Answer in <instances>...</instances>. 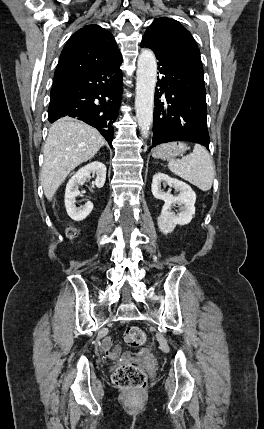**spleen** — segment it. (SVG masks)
<instances>
[{
  "mask_svg": "<svg viewBox=\"0 0 264 429\" xmlns=\"http://www.w3.org/2000/svg\"><path fill=\"white\" fill-rule=\"evenodd\" d=\"M168 168L202 191L206 192L212 187L215 176L214 165L209 153L200 144H195L193 152L181 160L168 159Z\"/></svg>",
  "mask_w": 264,
  "mask_h": 429,
  "instance_id": "1",
  "label": "spleen"
}]
</instances>
